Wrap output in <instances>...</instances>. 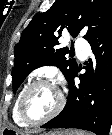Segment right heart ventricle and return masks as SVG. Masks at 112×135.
Segmentation results:
<instances>
[{"label":"right heart ventricle","mask_w":112,"mask_h":135,"mask_svg":"<svg viewBox=\"0 0 112 135\" xmlns=\"http://www.w3.org/2000/svg\"><path fill=\"white\" fill-rule=\"evenodd\" d=\"M26 87V86H25ZM25 87H23L20 92L18 93L17 97L15 98L12 108H11V116H12V120L14 121V123L20 127H29L31 124L25 122L19 114V99L20 96L23 92V90L25 89Z\"/></svg>","instance_id":"obj_1"}]
</instances>
